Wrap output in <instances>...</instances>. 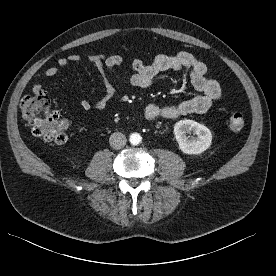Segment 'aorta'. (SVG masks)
Returning <instances> with one entry per match:
<instances>
[{
	"mask_svg": "<svg viewBox=\"0 0 276 276\" xmlns=\"http://www.w3.org/2000/svg\"><path fill=\"white\" fill-rule=\"evenodd\" d=\"M129 140H130L131 144L137 145V144H139L141 142L142 137L138 133H133V134L130 135Z\"/></svg>",
	"mask_w": 276,
	"mask_h": 276,
	"instance_id": "obj_1",
	"label": "aorta"
}]
</instances>
